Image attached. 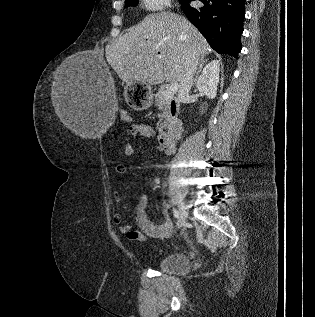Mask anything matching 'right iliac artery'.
<instances>
[{
	"label": "right iliac artery",
	"mask_w": 315,
	"mask_h": 317,
	"mask_svg": "<svg viewBox=\"0 0 315 317\" xmlns=\"http://www.w3.org/2000/svg\"><path fill=\"white\" fill-rule=\"evenodd\" d=\"M173 215H174V217L175 218H178L179 217V212H178V210L177 209H173Z\"/></svg>",
	"instance_id": "82829eb1"
}]
</instances>
